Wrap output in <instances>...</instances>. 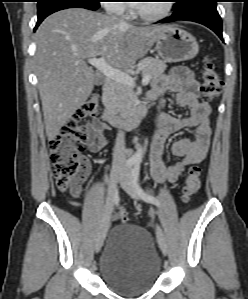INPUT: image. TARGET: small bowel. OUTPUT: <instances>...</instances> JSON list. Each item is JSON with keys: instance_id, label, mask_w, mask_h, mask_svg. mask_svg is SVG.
<instances>
[{"instance_id": "1", "label": "small bowel", "mask_w": 248, "mask_h": 299, "mask_svg": "<svg viewBox=\"0 0 248 299\" xmlns=\"http://www.w3.org/2000/svg\"><path fill=\"white\" fill-rule=\"evenodd\" d=\"M167 92L174 93L177 105L187 108L189 113L184 117H174L162 113L157 116L154 139L149 150V169L157 182L177 181L186 167L202 162L210 147L209 116L211 109L208 104L199 100V83L193 73L186 68H176L154 84L149 98L156 100ZM190 128L195 129L194 139L175 140L171 151L179 159L167 166L162 159L167 136ZM86 129L88 150L92 153H99L107 144L108 125L99 119H94ZM84 163L88 172L90 163L86 159ZM117 217L118 214L113 215V219Z\"/></svg>"}]
</instances>
